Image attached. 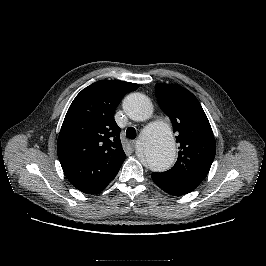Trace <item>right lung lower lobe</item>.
I'll return each instance as SVG.
<instances>
[{"mask_svg": "<svg viewBox=\"0 0 266 266\" xmlns=\"http://www.w3.org/2000/svg\"><path fill=\"white\" fill-rule=\"evenodd\" d=\"M105 187H106V186H105ZM105 187H104V188H105ZM104 188H103V189H104ZM103 189H101L100 191H102ZM100 191H98V192H96V193H94V194H97V193H99Z\"/></svg>", "mask_w": 266, "mask_h": 266, "instance_id": "1", "label": "right lung lower lobe"}]
</instances>
